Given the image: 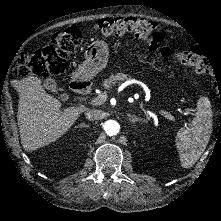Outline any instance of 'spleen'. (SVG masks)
I'll return each mask as SVG.
<instances>
[{"instance_id":"obj_1","label":"spleen","mask_w":221,"mask_h":221,"mask_svg":"<svg viewBox=\"0 0 221 221\" xmlns=\"http://www.w3.org/2000/svg\"><path fill=\"white\" fill-rule=\"evenodd\" d=\"M212 110L207 98L197 103V112L188 128H180L176 146L183 168L192 167L205 151L212 133Z\"/></svg>"}]
</instances>
